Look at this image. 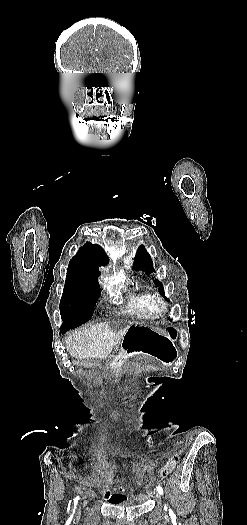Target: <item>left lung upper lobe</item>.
<instances>
[{
    "label": "left lung upper lobe",
    "mask_w": 247,
    "mask_h": 525,
    "mask_svg": "<svg viewBox=\"0 0 247 525\" xmlns=\"http://www.w3.org/2000/svg\"><path fill=\"white\" fill-rule=\"evenodd\" d=\"M133 268L145 270L146 274H150L151 271H154L153 261L150 257V254L146 251L145 247L142 245L137 250L136 256L134 258ZM153 282L155 283V285L160 286L159 292L162 294V296L165 297L164 288H163L162 283H160L157 279L153 280ZM165 299L169 300L166 297Z\"/></svg>",
    "instance_id": "5c2ea615"
}]
</instances>
